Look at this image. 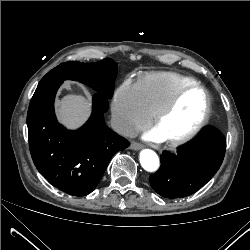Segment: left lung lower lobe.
I'll use <instances>...</instances> for the list:
<instances>
[{"label": "left lung lower lobe", "mask_w": 250, "mask_h": 250, "mask_svg": "<svg viewBox=\"0 0 250 250\" xmlns=\"http://www.w3.org/2000/svg\"><path fill=\"white\" fill-rule=\"evenodd\" d=\"M225 149L223 135L206 127L192 143L177 153L163 152L161 167L149 176L151 187L165 198H183L193 194L218 171Z\"/></svg>", "instance_id": "left-lung-lower-lobe-1"}]
</instances>
